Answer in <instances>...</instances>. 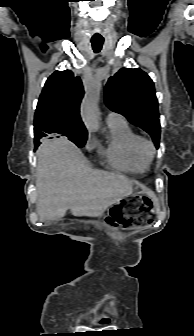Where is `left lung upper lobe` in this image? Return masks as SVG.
Listing matches in <instances>:
<instances>
[{"instance_id": "left-lung-upper-lobe-1", "label": "left lung upper lobe", "mask_w": 194, "mask_h": 336, "mask_svg": "<svg viewBox=\"0 0 194 336\" xmlns=\"http://www.w3.org/2000/svg\"><path fill=\"white\" fill-rule=\"evenodd\" d=\"M104 95L112 111L148 132L158 147L161 133L158 101L147 73L139 68L121 69L109 78Z\"/></svg>"}]
</instances>
